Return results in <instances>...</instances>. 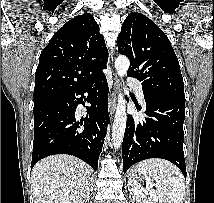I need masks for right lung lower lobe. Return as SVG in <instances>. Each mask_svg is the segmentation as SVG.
<instances>
[{"label":"right lung lower lobe","instance_id":"right-lung-lower-lobe-1","mask_svg":"<svg viewBox=\"0 0 214 203\" xmlns=\"http://www.w3.org/2000/svg\"><path fill=\"white\" fill-rule=\"evenodd\" d=\"M109 87L104 74L70 90L34 102V144L31 168L54 154L76 156L97 170L109 123ZM88 93L87 114L80 121L75 114Z\"/></svg>","mask_w":214,"mask_h":203}]
</instances>
